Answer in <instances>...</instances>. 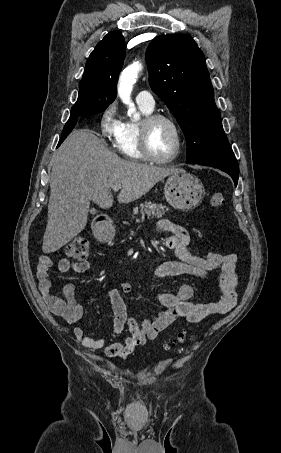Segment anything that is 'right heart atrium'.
<instances>
[{"mask_svg": "<svg viewBox=\"0 0 281 453\" xmlns=\"http://www.w3.org/2000/svg\"><path fill=\"white\" fill-rule=\"evenodd\" d=\"M127 90V83L124 79H122V76L120 77L118 81V93L120 97H125L126 96V91ZM122 121L119 118L118 115V106L116 102L110 103L108 106L105 107V109L102 111L101 116H100V121H99V127L101 134L104 138H106L109 141H114L116 140L120 127H121ZM103 158H113L112 154L104 151L103 153Z\"/></svg>", "mask_w": 281, "mask_h": 453, "instance_id": "1", "label": "right heart atrium"}]
</instances>
